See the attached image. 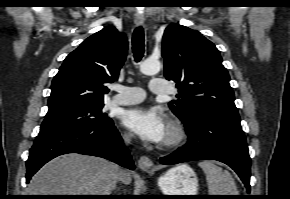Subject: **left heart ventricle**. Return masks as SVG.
I'll return each instance as SVG.
<instances>
[{"label": "left heart ventricle", "mask_w": 290, "mask_h": 199, "mask_svg": "<svg viewBox=\"0 0 290 199\" xmlns=\"http://www.w3.org/2000/svg\"><path fill=\"white\" fill-rule=\"evenodd\" d=\"M168 137V129H167V132H166V135H165V138L164 140Z\"/></svg>", "instance_id": "left-heart-ventricle-1"}]
</instances>
